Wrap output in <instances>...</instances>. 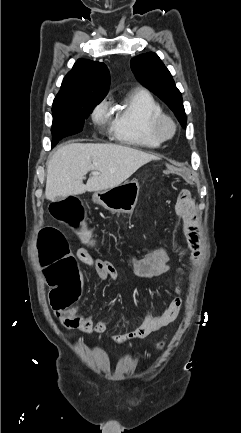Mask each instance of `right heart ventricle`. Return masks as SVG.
<instances>
[{"mask_svg":"<svg viewBox=\"0 0 241 433\" xmlns=\"http://www.w3.org/2000/svg\"><path fill=\"white\" fill-rule=\"evenodd\" d=\"M163 114L156 99L145 89L131 91L116 107L111 123L115 140L138 148L155 149L162 140L151 130L152 121Z\"/></svg>","mask_w":241,"mask_h":433,"instance_id":"obj_1","label":"right heart ventricle"}]
</instances>
